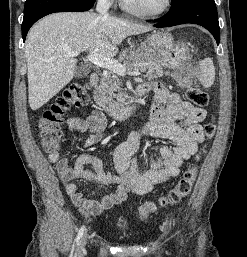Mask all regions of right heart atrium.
Masks as SVG:
<instances>
[{
  "label": "right heart atrium",
  "instance_id": "obj_1",
  "mask_svg": "<svg viewBox=\"0 0 247 257\" xmlns=\"http://www.w3.org/2000/svg\"><path fill=\"white\" fill-rule=\"evenodd\" d=\"M103 3L110 5L113 3V0H101Z\"/></svg>",
  "mask_w": 247,
  "mask_h": 257
}]
</instances>
